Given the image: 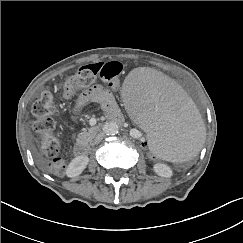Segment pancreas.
Wrapping results in <instances>:
<instances>
[{
    "label": "pancreas",
    "instance_id": "1",
    "mask_svg": "<svg viewBox=\"0 0 243 243\" xmlns=\"http://www.w3.org/2000/svg\"><path fill=\"white\" fill-rule=\"evenodd\" d=\"M97 131H98L97 128L91 127L87 131L81 133L78 136L77 141L78 142H89L95 137Z\"/></svg>",
    "mask_w": 243,
    "mask_h": 243
}]
</instances>
